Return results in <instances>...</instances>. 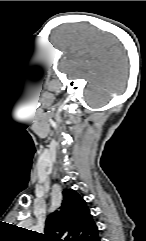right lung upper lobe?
I'll return each mask as SVG.
<instances>
[{"label": "right lung upper lobe", "instance_id": "cb5924a9", "mask_svg": "<svg viewBox=\"0 0 146 241\" xmlns=\"http://www.w3.org/2000/svg\"><path fill=\"white\" fill-rule=\"evenodd\" d=\"M44 241H98V228L85 200L74 190H64L61 206L51 213Z\"/></svg>", "mask_w": 146, "mask_h": 241}]
</instances>
